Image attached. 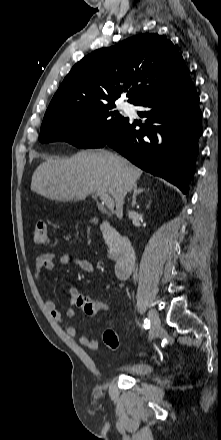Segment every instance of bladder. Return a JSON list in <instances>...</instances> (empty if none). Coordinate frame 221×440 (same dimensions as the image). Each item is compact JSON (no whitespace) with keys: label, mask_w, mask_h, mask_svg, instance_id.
I'll return each instance as SVG.
<instances>
[{"label":"bladder","mask_w":221,"mask_h":440,"mask_svg":"<svg viewBox=\"0 0 221 440\" xmlns=\"http://www.w3.org/2000/svg\"><path fill=\"white\" fill-rule=\"evenodd\" d=\"M115 370L129 376L142 377L154 370V364L149 361H136L119 365Z\"/></svg>","instance_id":"31cf9c89"}]
</instances>
